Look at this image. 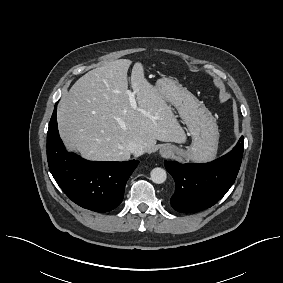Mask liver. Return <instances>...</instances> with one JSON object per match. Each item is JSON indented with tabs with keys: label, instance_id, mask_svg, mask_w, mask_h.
Wrapping results in <instances>:
<instances>
[{
	"label": "liver",
	"instance_id": "6515ba94",
	"mask_svg": "<svg viewBox=\"0 0 283 283\" xmlns=\"http://www.w3.org/2000/svg\"><path fill=\"white\" fill-rule=\"evenodd\" d=\"M128 59L108 62L79 78L60 100L58 129L64 143L82 157L94 161H126L127 145L135 141L144 152L157 140L184 143L186 134L171 107L144 76L136 62L131 87L138 109L127 95Z\"/></svg>",
	"mask_w": 283,
	"mask_h": 283
}]
</instances>
